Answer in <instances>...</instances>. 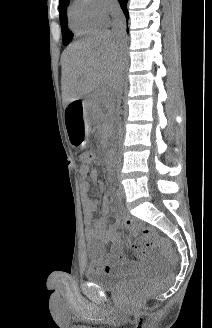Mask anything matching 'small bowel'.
I'll return each mask as SVG.
<instances>
[{"mask_svg": "<svg viewBox=\"0 0 212 328\" xmlns=\"http://www.w3.org/2000/svg\"><path fill=\"white\" fill-rule=\"evenodd\" d=\"M80 175L82 177L80 193L84 223L87 237L92 245V262L107 273L124 274L136 270L139 264L128 260L122 252L120 228L124 227L135 233L138 228L137 222L127 217L122 211L119 212L116 223L109 227L104 217L94 218V212L98 209L99 202L88 196L90 183L86 178H89L92 182H97L99 174L97 170L93 169L92 173H80ZM101 208L104 214L109 213L110 204L108 199L104 198L102 200ZM108 246L109 249H107ZM125 246L132 248L141 260H145L149 256L150 246L148 243L138 242L133 244L130 240H126Z\"/></svg>", "mask_w": 212, "mask_h": 328, "instance_id": "1", "label": "small bowel"}]
</instances>
